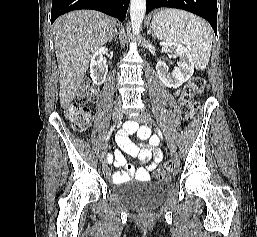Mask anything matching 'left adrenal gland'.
Returning a JSON list of instances; mask_svg holds the SVG:
<instances>
[{
    "label": "left adrenal gland",
    "instance_id": "a2214340",
    "mask_svg": "<svg viewBox=\"0 0 257 237\" xmlns=\"http://www.w3.org/2000/svg\"><path fill=\"white\" fill-rule=\"evenodd\" d=\"M149 34H152V35H153L151 27H150V29H149ZM153 37H154V35H153Z\"/></svg>",
    "mask_w": 257,
    "mask_h": 237
}]
</instances>
